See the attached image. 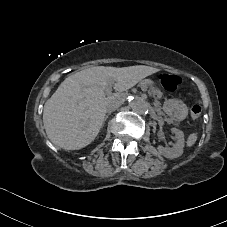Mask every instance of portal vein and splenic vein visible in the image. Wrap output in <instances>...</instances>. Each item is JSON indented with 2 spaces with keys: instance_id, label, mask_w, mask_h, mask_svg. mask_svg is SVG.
Returning <instances> with one entry per match:
<instances>
[{
  "instance_id": "obj_1",
  "label": "portal vein and splenic vein",
  "mask_w": 227,
  "mask_h": 227,
  "mask_svg": "<svg viewBox=\"0 0 227 227\" xmlns=\"http://www.w3.org/2000/svg\"><path fill=\"white\" fill-rule=\"evenodd\" d=\"M140 89H141L142 91H145V90H146V86H145V85H141V86H140Z\"/></svg>"
}]
</instances>
